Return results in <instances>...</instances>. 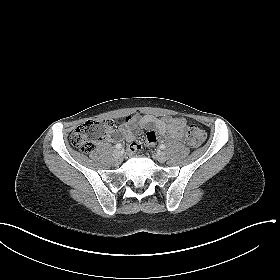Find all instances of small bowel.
Instances as JSON below:
<instances>
[{"mask_svg":"<svg viewBox=\"0 0 280 280\" xmlns=\"http://www.w3.org/2000/svg\"><path fill=\"white\" fill-rule=\"evenodd\" d=\"M144 128L153 126L155 130H148L145 135V142L147 146H154L158 142V133L163 136H168L176 140H180L184 136L186 127V120L179 117L158 118L153 115H144L142 117H129V119L120 127L118 134L113 137V140L125 139L129 142L127 153L135 154L141 145L135 142L136 133L132 129Z\"/></svg>","mask_w":280,"mask_h":280,"instance_id":"1","label":"small bowel"}]
</instances>
